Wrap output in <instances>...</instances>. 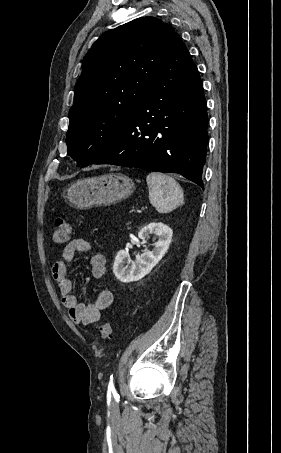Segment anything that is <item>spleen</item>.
<instances>
[{
    "mask_svg": "<svg viewBox=\"0 0 281 453\" xmlns=\"http://www.w3.org/2000/svg\"><path fill=\"white\" fill-rule=\"evenodd\" d=\"M149 200L158 212H171L183 202L180 196V184L175 178L163 172H150L147 178Z\"/></svg>",
    "mask_w": 281,
    "mask_h": 453,
    "instance_id": "obj_1",
    "label": "spleen"
}]
</instances>
